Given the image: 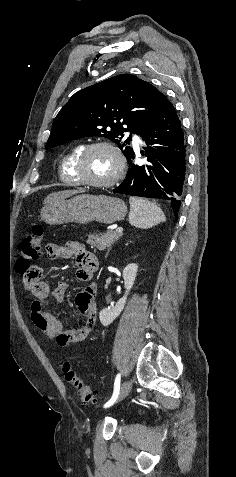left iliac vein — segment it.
I'll list each match as a JSON object with an SVG mask.
<instances>
[{
  "label": "left iliac vein",
  "mask_w": 236,
  "mask_h": 477,
  "mask_svg": "<svg viewBox=\"0 0 236 477\" xmlns=\"http://www.w3.org/2000/svg\"><path fill=\"white\" fill-rule=\"evenodd\" d=\"M131 389H132V381L127 380V381L123 382L121 387H120L119 394H118V397L116 399V402L110 403L109 407L104 409V412L109 413L110 411L114 410L115 407L118 406L117 402L122 401L130 393Z\"/></svg>",
  "instance_id": "1"
}]
</instances>
